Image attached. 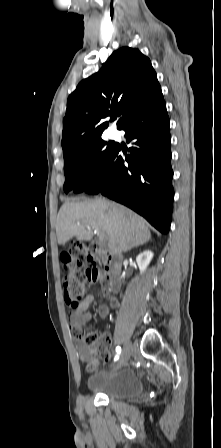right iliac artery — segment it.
Here are the masks:
<instances>
[{
	"instance_id": "right-iliac-artery-1",
	"label": "right iliac artery",
	"mask_w": 221,
	"mask_h": 448,
	"mask_svg": "<svg viewBox=\"0 0 221 448\" xmlns=\"http://www.w3.org/2000/svg\"><path fill=\"white\" fill-rule=\"evenodd\" d=\"M116 353L115 360H118L121 354V348L119 346L116 347Z\"/></svg>"
}]
</instances>
